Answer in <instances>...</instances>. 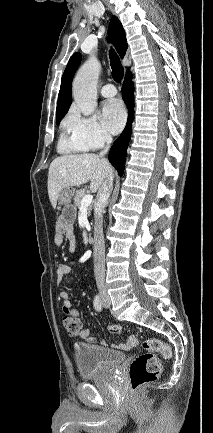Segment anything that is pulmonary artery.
Wrapping results in <instances>:
<instances>
[{
	"label": "pulmonary artery",
	"mask_w": 213,
	"mask_h": 433,
	"mask_svg": "<svg viewBox=\"0 0 213 433\" xmlns=\"http://www.w3.org/2000/svg\"><path fill=\"white\" fill-rule=\"evenodd\" d=\"M101 94L106 98H110L117 94V90L113 84H106L102 87Z\"/></svg>",
	"instance_id": "obj_1"
}]
</instances>
